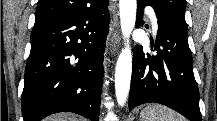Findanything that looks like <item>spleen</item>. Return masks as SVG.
<instances>
[{
	"label": "spleen",
	"mask_w": 217,
	"mask_h": 121,
	"mask_svg": "<svg viewBox=\"0 0 217 121\" xmlns=\"http://www.w3.org/2000/svg\"><path fill=\"white\" fill-rule=\"evenodd\" d=\"M140 117V121H184L182 117L171 109L158 104L145 107L141 111Z\"/></svg>",
	"instance_id": "1"
}]
</instances>
